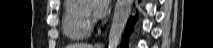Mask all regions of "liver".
Masks as SVG:
<instances>
[{
  "mask_svg": "<svg viewBox=\"0 0 213 48\" xmlns=\"http://www.w3.org/2000/svg\"><path fill=\"white\" fill-rule=\"evenodd\" d=\"M67 48H93V46L87 43H76L73 45H69V47Z\"/></svg>",
  "mask_w": 213,
  "mask_h": 48,
  "instance_id": "6515ba94",
  "label": "liver"
}]
</instances>
